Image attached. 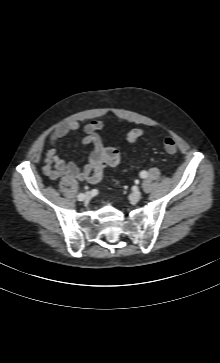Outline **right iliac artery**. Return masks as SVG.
Segmentation results:
<instances>
[{
    "mask_svg": "<svg viewBox=\"0 0 220 363\" xmlns=\"http://www.w3.org/2000/svg\"><path fill=\"white\" fill-rule=\"evenodd\" d=\"M84 194L83 193H81V194H79L77 197H78V200L79 201H82V200H84Z\"/></svg>",
    "mask_w": 220,
    "mask_h": 363,
    "instance_id": "1",
    "label": "right iliac artery"
}]
</instances>
